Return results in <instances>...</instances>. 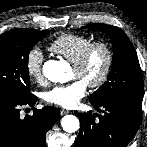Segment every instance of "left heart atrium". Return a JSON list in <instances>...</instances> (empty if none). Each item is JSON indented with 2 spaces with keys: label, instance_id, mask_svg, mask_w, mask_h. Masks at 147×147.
<instances>
[{
  "label": "left heart atrium",
  "instance_id": "left-heart-atrium-1",
  "mask_svg": "<svg viewBox=\"0 0 147 147\" xmlns=\"http://www.w3.org/2000/svg\"><path fill=\"white\" fill-rule=\"evenodd\" d=\"M86 92L87 83L77 79L66 85L55 86L45 92L44 100L49 104L70 109L79 104Z\"/></svg>",
  "mask_w": 147,
  "mask_h": 147
}]
</instances>
